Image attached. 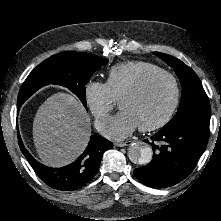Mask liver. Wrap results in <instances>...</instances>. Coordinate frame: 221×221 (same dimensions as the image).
Listing matches in <instances>:
<instances>
[{"instance_id": "obj_1", "label": "liver", "mask_w": 221, "mask_h": 221, "mask_svg": "<svg viewBox=\"0 0 221 221\" xmlns=\"http://www.w3.org/2000/svg\"><path fill=\"white\" fill-rule=\"evenodd\" d=\"M91 135L90 117L72 95L56 93L39 107L33 121V140L43 164L62 167L86 148Z\"/></svg>"}]
</instances>
